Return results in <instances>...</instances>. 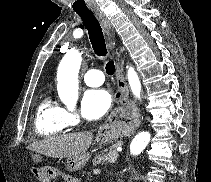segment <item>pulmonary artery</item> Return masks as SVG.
Returning <instances> with one entry per match:
<instances>
[{"label":"pulmonary artery","instance_id":"pulmonary-artery-1","mask_svg":"<svg viewBox=\"0 0 211 182\" xmlns=\"http://www.w3.org/2000/svg\"><path fill=\"white\" fill-rule=\"evenodd\" d=\"M84 82L91 87H96L104 82V74L99 69H92L85 73Z\"/></svg>","mask_w":211,"mask_h":182}]
</instances>
